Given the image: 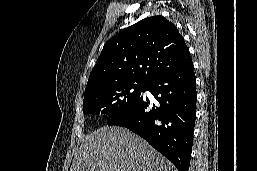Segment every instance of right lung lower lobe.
<instances>
[{
	"instance_id": "1",
	"label": "right lung lower lobe",
	"mask_w": 257,
	"mask_h": 171,
	"mask_svg": "<svg viewBox=\"0 0 257 171\" xmlns=\"http://www.w3.org/2000/svg\"><path fill=\"white\" fill-rule=\"evenodd\" d=\"M146 90L157 105L140 96L127 110L108 119V125L128 128L168 158L178 171H188L197 101L192 60L156 77Z\"/></svg>"
}]
</instances>
